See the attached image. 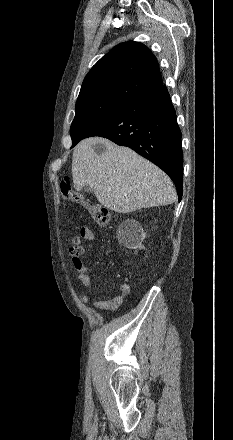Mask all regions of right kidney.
Masks as SVG:
<instances>
[{
  "label": "right kidney",
  "instance_id": "right-kidney-1",
  "mask_svg": "<svg viewBox=\"0 0 233 440\" xmlns=\"http://www.w3.org/2000/svg\"><path fill=\"white\" fill-rule=\"evenodd\" d=\"M146 234L141 226L134 220L124 221L118 228V241L130 249L143 248L142 241Z\"/></svg>",
  "mask_w": 233,
  "mask_h": 440
}]
</instances>
